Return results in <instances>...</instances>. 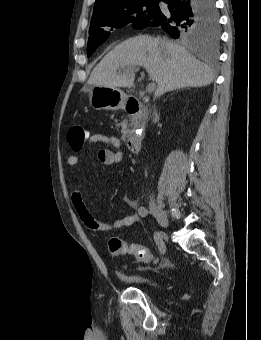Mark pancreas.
<instances>
[{
  "label": "pancreas",
  "instance_id": "1",
  "mask_svg": "<svg viewBox=\"0 0 261 340\" xmlns=\"http://www.w3.org/2000/svg\"><path fill=\"white\" fill-rule=\"evenodd\" d=\"M129 126H130V124H128V122H125L122 125V130H121V134H122L121 138H122V140H125L126 138L129 137V135H130Z\"/></svg>",
  "mask_w": 261,
  "mask_h": 340
}]
</instances>
